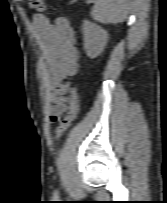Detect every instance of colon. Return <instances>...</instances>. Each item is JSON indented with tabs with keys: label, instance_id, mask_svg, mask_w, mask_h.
<instances>
[{
	"label": "colon",
	"instance_id": "obj_1",
	"mask_svg": "<svg viewBox=\"0 0 167 203\" xmlns=\"http://www.w3.org/2000/svg\"><path fill=\"white\" fill-rule=\"evenodd\" d=\"M29 7L36 12H44L45 5L43 0H26ZM79 114V101L77 95L76 85L74 84L70 89L69 95V112L57 132V139L60 140L66 131L71 127Z\"/></svg>",
	"mask_w": 167,
	"mask_h": 203
}]
</instances>
